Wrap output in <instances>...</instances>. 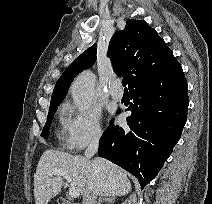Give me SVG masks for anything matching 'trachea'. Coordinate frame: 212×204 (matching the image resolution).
Listing matches in <instances>:
<instances>
[{"label": "trachea", "instance_id": "trachea-1", "mask_svg": "<svg viewBox=\"0 0 212 204\" xmlns=\"http://www.w3.org/2000/svg\"><path fill=\"white\" fill-rule=\"evenodd\" d=\"M122 85L125 87V89H126V85H127V79H123L122 80Z\"/></svg>", "mask_w": 212, "mask_h": 204}]
</instances>
